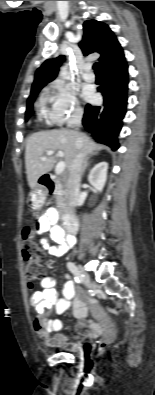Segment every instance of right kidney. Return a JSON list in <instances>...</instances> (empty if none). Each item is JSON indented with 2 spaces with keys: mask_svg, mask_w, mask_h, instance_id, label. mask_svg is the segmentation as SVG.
<instances>
[{
  "mask_svg": "<svg viewBox=\"0 0 155 395\" xmlns=\"http://www.w3.org/2000/svg\"><path fill=\"white\" fill-rule=\"evenodd\" d=\"M108 163L100 162L96 164L89 173V183L99 192H101L105 186L107 179Z\"/></svg>",
  "mask_w": 155,
  "mask_h": 395,
  "instance_id": "1",
  "label": "right kidney"
}]
</instances>
